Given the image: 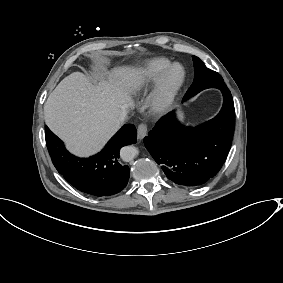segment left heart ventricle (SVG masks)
<instances>
[{
  "label": "left heart ventricle",
  "mask_w": 283,
  "mask_h": 283,
  "mask_svg": "<svg viewBox=\"0 0 283 283\" xmlns=\"http://www.w3.org/2000/svg\"><path fill=\"white\" fill-rule=\"evenodd\" d=\"M181 76V68L175 67L167 77L166 84L168 87L172 86Z\"/></svg>",
  "instance_id": "b2bd125f"
}]
</instances>
